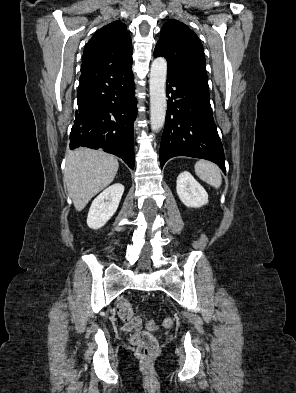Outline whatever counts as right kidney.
Wrapping results in <instances>:
<instances>
[{
	"instance_id": "ca27d5eb",
	"label": "right kidney",
	"mask_w": 296,
	"mask_h": 393,
	"mask_svg": "<svg viewBox=\"0 0 296 393\" xmlns=\"http://www.w3.org/2000/svg\"><path fill=\"white\" fill-rule=\"evenodd\" d=\"M124 186L116 183L105 189L92 202L87 217L89 228L97 230L103 227L116 212Z\"/></svg>"
}]
</instances>
